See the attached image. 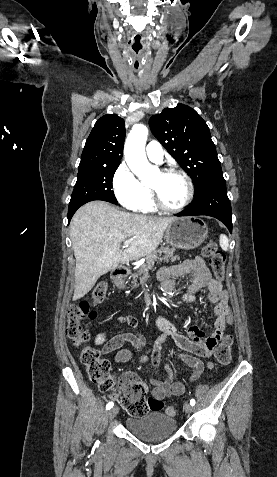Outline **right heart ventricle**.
Listing matches in <instances>:
<instances>
[{
  "label": "right heart ventricle",
  "mask_w": 277,
  "mask_h": 477,
  "mask_svg": "<svg viewBox=\"0 0 277 477\" xmlns=\"http://www.w3.org/2000/svg\"><path fill=\"white\" fill-rule=\"evenodd\" d=\"M145 190H146V197L143 201V203L140 205L138 209H136L139 212L143 213H152L156 210V207L153 203L152 196L150 193L149 188L146 185H143Z\"/></svg>",
  "instance_id": "e07e8e85"
}]
</instances>
